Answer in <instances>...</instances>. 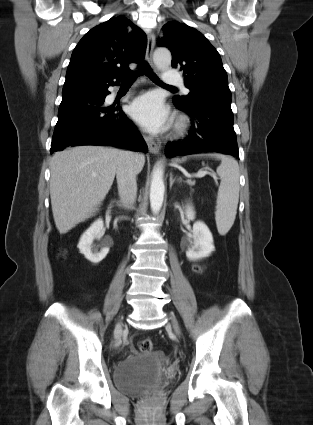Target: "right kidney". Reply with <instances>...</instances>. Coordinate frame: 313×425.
Listing matches in <instances>:
<instances>
[{"mask_svg":"<svg viewBox=\"0 0 313 425\" xmlns=\"http://www.w3.org/2000/svg\"><path fill=\"white\" fill-rule=\"evenodd\" d=\"M103 236V221L102 219L96 220L81 236L78 248L86 259L92 263H99L102 261L109 252V246L105 245L100 251L92 249V243L95 238Z\"/></svg>","mask_w":313,"mask_h":425,"instance_id":"right-kidney-1","label":"right kidney"}]
</instances>
